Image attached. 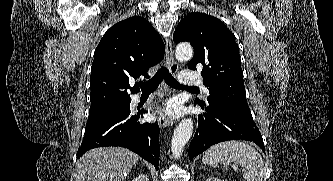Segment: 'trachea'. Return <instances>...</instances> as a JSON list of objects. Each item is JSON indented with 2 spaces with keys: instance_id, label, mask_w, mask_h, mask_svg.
Returning a JSON list of instances; mask_svg holds the SVG:
<instances>
[{
  "instance_id": "obj_1",
  "label": "trachea",
  "mask_w": 333,
  "mask_h": 181,
  "mask_svg": "<svg viewBox=\"0 0 333 181\" xmlns=\"http://www.w3.org/2000/svg\"><path fill=\"white\" fill-rule=\"evenodd\" d=\"M165 79V82L168 86L176 88V89H197V87H188L180 84L169 72L167 67H162L157 71L155 76L150 79L149 81L140 84V88L142 92H153L157 89L158 85L162 82V80Z\"/></svg>"
}]
</instances>
